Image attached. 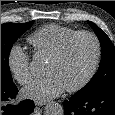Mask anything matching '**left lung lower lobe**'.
I'll return each instance as SVG.
<instances>
[{"mask_svg":"<svg viewBox=\"0 0 115 115\" xmlns=\"http://www.w3.org/2000/svg\"><path fill=\"white\" fill-rule=\"evenodd\" d=\"M63 104L64 115H115V89H106L81 97L73 95Z\"/></svg>","mask_w":115,"mask_h":115,"instance_id":"0a47b994","label":"left lung lower lobe"}]
</instances>
